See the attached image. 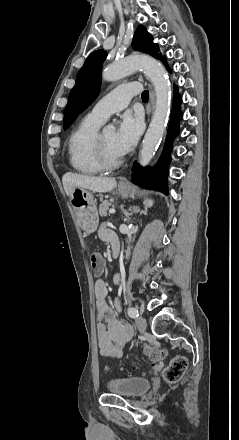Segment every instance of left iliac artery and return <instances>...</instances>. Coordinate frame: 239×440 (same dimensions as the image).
Here are the masks:
<instances>
[{
    "instance_id": "left-iliac-artery-1",
    "label": "left iliac artery",
    "mask_w": 239,
    "mask_h": 440,
    "mask_svg": "<svg viewBox=\"0 0 239 440\" xmlns=\"http://www.w3.org/2000/svg\"><path fill=\"white\" fill-rule=\"evenodd\" d=\"M127 313L131 318H136L139 316L138 310L134 307H129Z\"/></svg>"
}]
</instances>
